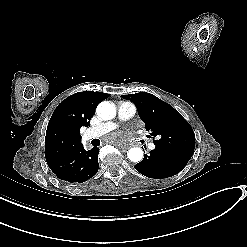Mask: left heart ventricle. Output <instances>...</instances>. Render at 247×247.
Listing matches in <instances>:
<instances>
[{"instance_id": "1", "label": "left heart ventricle", "mask_w": 247, "mask_h": 247, "mask_svg": "<svg viewBox=\"0 0 247 247\" xmlns=\"http://www.w3.org/2000/svg\"><path fill=\"white\" fill-rule=\"evenodd\" d=\"M121 128L125 129V130H131L133 131L134 127L131 123L126 122V123H122L120 124Z\"/></svg>"}]
</instances>
